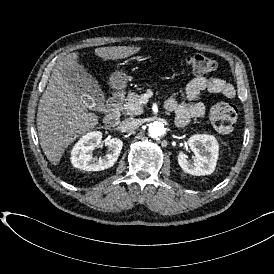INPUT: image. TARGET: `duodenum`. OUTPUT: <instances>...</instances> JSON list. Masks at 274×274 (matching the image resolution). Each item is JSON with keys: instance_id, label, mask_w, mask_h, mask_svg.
<instances>
[{"instance_id": "1", "label": "duodenum", "mask_w": 274, "mask_h": 274, "mask_svg": "<svg viewBox=\"0 0 274 274\" xmlns=\"http://www.w3.org/2000/svg\"><path fill=\"white\" fill-rule=\"evenodd\" d=\"M123 102V96L119 93L112 94L107 101L108 114L105 118V124L108 128H116L120 122V109Z\"/></svg>"}]
</instances>
